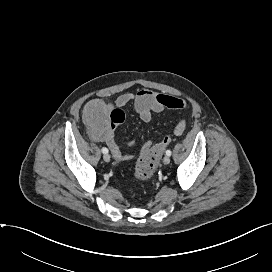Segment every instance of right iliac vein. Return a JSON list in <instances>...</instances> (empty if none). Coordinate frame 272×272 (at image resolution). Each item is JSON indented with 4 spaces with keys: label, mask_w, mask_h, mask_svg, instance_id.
Here are the masks:
<instances>
[{
    "label": "right iliac vein",
    "mask_w": 272,
    "mask_h": 272,
    "mask_svg": "<svg viewBox=\"0 0 272 272\" xmlns=\"http://www.w3.org/2000/svg\"><path fill=\"white\" fill-rule=\"evenodd\" d=\"M103 159L105 162H109L110 161V155L108 153L104 154Z\"/></svg>",
    "instance_id": "obj_1"
}]
</instances>
